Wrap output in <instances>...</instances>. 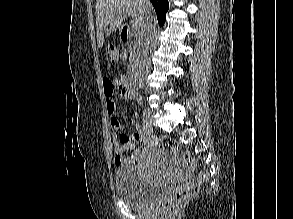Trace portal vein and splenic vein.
I'll use <instances>...</instances> for the list:
<instances>
[{
	"label": "portal vein and splenic vein",
	"mask_w": 293,
	"mask_h": 219,
	"mask_svg": "<svg viewBox=\"0 0 293 219\" xmlns=\"http://www.w3.org/2000/svg\"><path fill=\"white\" fill-rule=\"evenodd\" d=\"M127 15H128V16H130L131 14H129V13H126V16H127ZM133 28H134V29H136V26H135V25H133Z\"/></svg>",
	"instance_id": "portal-vein-and-splenic-vein-1"
}]
</instances>
